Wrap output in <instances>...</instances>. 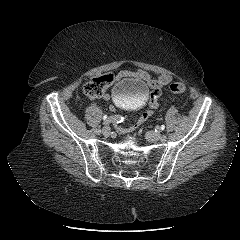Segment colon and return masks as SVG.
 I'll list each match as a JSON object with an SVG mask.
<instances>
[{
    "instance_id": "1",
    "label": "colon",
    "mask_w": 240,
    "mask_h": 240,
    "mask_svg": "<svg viewBox=\"0 0 240 240\" xmlns=\"http://www.w3.org/2000/svg\"><path fill=\"white\" fill-rule=\"evenodd\" d=\"M110 81L109 75L92 78L84 86L85 94L90 98H100L104 95L106 86ZM170 92L174 94H186L187 88L181 82L172 83L169 87Z\"/></svg>"
}]
</instances>
